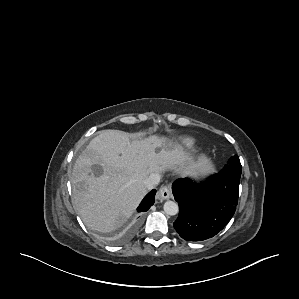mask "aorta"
I'll use <instances>...</instances> for the list:
<instances>
[{
	"instance_id": "762f6f07",
	"label": "aorta",
	"mask_w": 299,
	"mask_h": 299,
	"mask_svg": "<svg viewBox=\"0 0 299 299\" xmlns=\"http://www.w3.org/2000/svg\"><path fill=\"white\" fill-rule=\"evenodd\" d=\"M164 212L167 215L174 216L179 212L178 204L174 201H166L163 206Z\"/></svg>"
}]
</instances>
